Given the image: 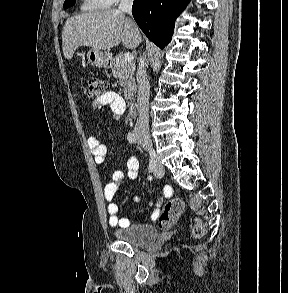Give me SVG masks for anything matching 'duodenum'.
<instances>
[{"instance_id": "duodenum-1", "label": "duodenum", "mask_w": 288, "mask_h": 293, "mask_svg": "<svg viewBox=\"0 0 288 293\" xmlns=\"http://www.w3.org/2000/svg\"><path fill=\"white\" fill-rule=\"evenodd\" d=\"M139 104L136 100L129 101V111L131 114L135 115L138 111Z\"/></svg>"}]
</instances>
